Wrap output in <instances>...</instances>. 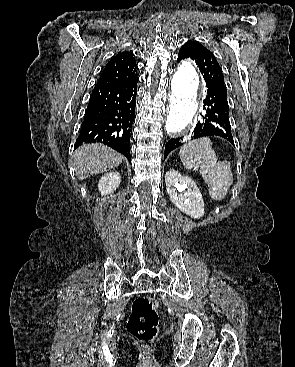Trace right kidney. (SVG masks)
<instances>
[{
  "mask_svg": "<svg viewBox=\"0 0 295 367\" xmlns=\"http://www.w3.org/2000/svg\"><path fill=\"white\" fill-rule=\"evenodd\" d=\"M121 177L118 172H110L104 175L98 183V189L101 195L111 194L119 187Z\"/></svg>",
  "mask_w": 295,
  "mask_h": 367,
  "instance_id": "ca27d5eb",
  "label": "right kidney"
}]
</instances>
